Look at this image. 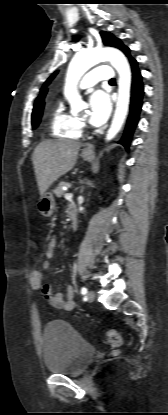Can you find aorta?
<instances>
[{
  "label": "aorta",
  "mask_w": 168,
  "mask_h": 415,
  "mask_svg": "<svg viewBox=\"0 0 168 415\" xmlns=\"http://www.w3.org/2000/svg\"><path fill=\"white\" fill-rule=\"evenodd\" d=\"M101 61H109L119 75L118 100L112 123L106 135V140L110 141L120 131L129 108L131 71L124 54L113 47L77 52L68 67L64 94L72 109L82 106L83 101L76 89L77 83L87 70Z\"/></svg>",
  "instance_id": "obj_1"
}]
</instances>
